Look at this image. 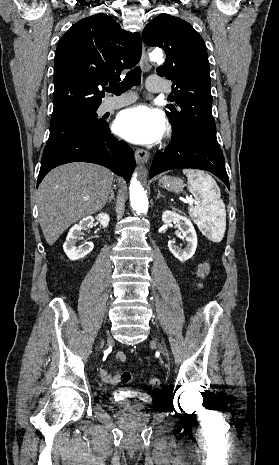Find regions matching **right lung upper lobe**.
I'll return each mask as SVG.
<instances>
[{"label": "right lung upper lobe", "instance_id": "right-lung-upper-lobe-1", "mask_svg": "<svg viewBox=\"0 0 279 465\" xmlns=\"http://www.w3.org/2000/svg\"><path fill=\"white\" fill-rule=\"evenodd\" d=\"M141 49L140 35L121 29L106 14L75 23L63 35L55 53L50 126L97 109L104 97L101 89L120 79L123 69L138 63Z\"/></svg>", "mask_w": 279, "mask_h": 465}]
</instances>
